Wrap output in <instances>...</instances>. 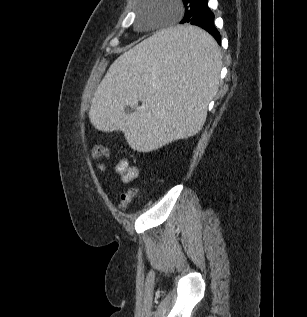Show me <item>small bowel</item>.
Returning <instances> with one entry per match:
<instances>
[{
  "mask_svg": "<svg viewBox=\"0 0 307 317\" xmlns=\"http://www.w3.org/2000/svg\"><path fill=\"white\" fill-rule=\"evenodd\" d=\"M115 172L121 176L124 183H129L139 174V168L132 166L125 159L120 160L115 166Z\"/></svg>",
  "mask_w": 307,
  "mask_h": 317,
  "instance_id": "1",
  "label": "small bowel"
}]
</instances>
